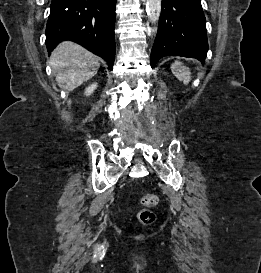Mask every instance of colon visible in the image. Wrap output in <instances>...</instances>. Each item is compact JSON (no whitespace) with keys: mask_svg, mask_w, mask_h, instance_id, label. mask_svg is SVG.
<instances>
[{"mask_svg":"<svg viewBox=\"0 0 261 273\" xmlns=\"http://www.w3.org/2000/svg\"><path fill=\"white\" fill-rule=\"evenodd\" d=\"M141 203L147 207L154 206L157 203V197L153 194L143 195L141 198ZM154 218V214L147 209H143L138 213V221L143 224L151 223Z\"/></svg>","mask_w":261,"mask_h":273,"instance_id":"1","label":"colon"}]
</instances>
